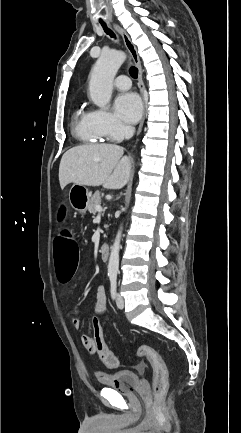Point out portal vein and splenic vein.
I'll list each match as a JSON object with an SVG mask.
<instances>
[{
	"mask_svg": "<svg viewBox=\"0 0 241 433\" xmlns=\"http://www.w3.org/2000/svg\"><path fill=\"white\" fill-rule=\"evenodd\" d=\"M96 211H97L98 213H101V212L103 211V208L101 207V205H97V206H96Z\"/></svg>",
	"mask_w": 241,
	"mask_h": 433,
	"instance_id": "portal-vein-and-splenic-vein-1",
	"label": "portal vein and splenic vein"
}]
</instances>
